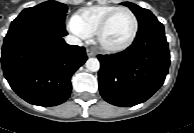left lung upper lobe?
<instances>
[{
    "instance_id": "1",
    "label": "left lung upper lobe",
    "mask_w": 194,
    "mask_h": 133,
    "mask_svg": "<svg viewBox=\"0 0 194 133\" xmlns=\"http://www.w3.org/2000/svg\"><path fill=\"white\" fill-rule=\"evenodd\" d=\"M122 5L128 7L134 13L138 20V29L159 22L156 16L148 9L141 8L131 2H123Z\"/></svg>"
}]
</instances>
